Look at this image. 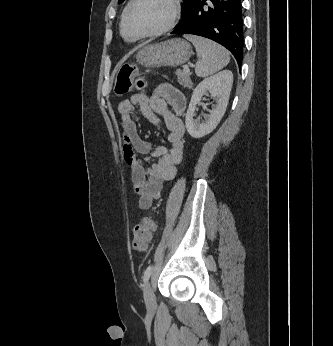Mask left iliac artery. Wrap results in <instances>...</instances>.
<instances>
[{"label":"left iliac artery","instance_id":"44dca946","mask_svg":"<svg viewBox=\"0 0 333 346\" xmlns=\"http://www.w3.org/2000/svg\"><path fill=\"white\" fill-rule=\"evenodd\" d=\"M151 271H152V265H149L143 275L144 283L148 282L151 275Z\"/></svg>","mask_w":333,"mask_h":346}]
</instances>
